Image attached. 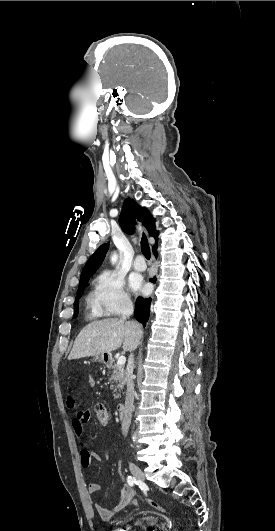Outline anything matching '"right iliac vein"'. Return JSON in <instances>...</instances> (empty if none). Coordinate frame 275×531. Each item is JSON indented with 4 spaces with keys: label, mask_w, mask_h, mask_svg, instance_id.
Listing matches in <instances>:
<instances>
[{
    "label": "right iliac vein",
    "mask_w": 275,
    "mask_h": 531,
    "mask_svg": "<svg viewBox=\"0 0 275 531\" xmlns=\"http://www.w3.org/2000/svg\"><path fill=\"white\" fill-rule=\"evenodd\" d=\"M129 469L131 471V473L133 474L134 478L140 482L144 481V473L142 471V469L136 465L135 463L133 462H130L129 463Z\"/></svg>",
    "instance_id": "right-iliac-vein-1"
}]
</instances>
